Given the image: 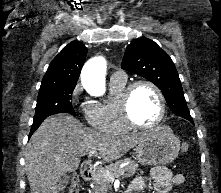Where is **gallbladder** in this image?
<instances>
[{
	"label": "gallbladder",
	"instance_id": "1",
	"mask_svg": "<svg viewBox=\"0 0 221 193\" xmlns=\"http://www.w3.org/2000/svg\"><path fill=\"white\" fill-rule=\"evenodd\" d=\"M69 176H64L62 179H61V181H60V183H59V187H60V189H61V193L63 192V190L65 189V187L67 186V184H68V182H69Z\"/></svg>",
	"mask_w": 221,
	"mask_h": 193
}]
</instances>
